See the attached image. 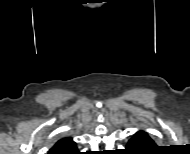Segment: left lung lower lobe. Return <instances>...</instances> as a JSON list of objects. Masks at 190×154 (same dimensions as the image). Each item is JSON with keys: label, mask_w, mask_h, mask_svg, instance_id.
<instances>
[{"label": "left lung lower lobe", "mask_w": 190, "mask_h": 154, "mask_svg": "<svg viewBox=\"0 0 190 154\" xmlns=\"http://www.w3.org/2000/svg\"><path fill=\"white\" fill-rule=\"evenodd\" d=\"M154 147V141L144 131H138L128 142L126 149L132 152H140ZM142 154V153H131Z\"/></svg>", "instance_id": "1"}]
</instances>
